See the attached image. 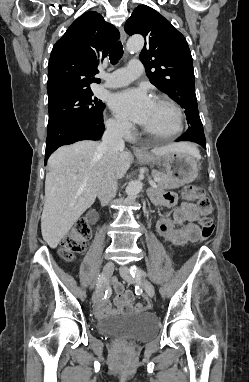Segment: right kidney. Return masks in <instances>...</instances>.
Instances as JSON below:
<instances>
[{"instance_id": "ca27d5eb", "label": "right kidney", "mask_w": 249, "mask_h": 382, "mask_svg": "<svg viewBox=\"0 0 249 382\" xmlns=\"http://www.w3.org/2000/svg\"><path fill=\"white\" fill-rule=\"evenodd\" d=\"M87 217L89 219L90 224H97L98 223V211L97 210H90Z\"/></svg>"}]
</instances>
